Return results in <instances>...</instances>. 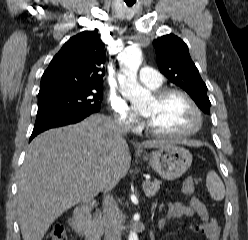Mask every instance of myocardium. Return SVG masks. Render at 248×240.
Listing matches in <instances>:
<instances>
[{"label":"myocardium","instance_id":"obj_1","mask_svg":"<svg viewBox=\"0 0 248 240\" xmlns=\"http://www.w3.org/2000/svg\"><path fill=\"white\" fill-rule=\"evenodd\" d=\"M171 95H180L189 103L197 119L196 125L192 127L191 129L187 131H183V132H167V131H161V130H157L153 128L147 120L146 130L152 135L163 137V138H185V137L195 135L202 129L203 122H204L203 114L199 106L186 91L179 89V88H162L154 92V97L158 101H162Z\"/></svg>","mask_w":248,"mask_h":240}]
</instances>
